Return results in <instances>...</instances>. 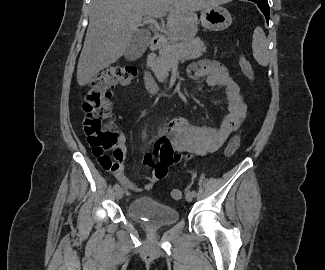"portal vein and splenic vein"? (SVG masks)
I'll return each mask as SVG.
<instances>
[{
  "label": "portal vein and splenic vein",
  "mask_w": 325,
  "mask_h": 270,
  "mask_svg": "<svg viewBox=\"0 0 325 270\" xmlns=\"http://www.w3.org/2000/svg\"><path fill=\"white\" fill-rule=\"evenodd\" d=\"M160 17H162V16H160ZM137 22H140V21H142V20H144L143 19V17H137L136 19H135ZM147 22H155L153 19H149V20H147Z\"/></svg>",
  "instance_id": "portal-vein-and-splenic-vein-1"
}]
</instances>
